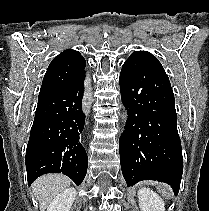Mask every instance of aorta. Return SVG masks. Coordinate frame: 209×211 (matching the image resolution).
Segmentation results:
<instances>
[{
  "label": "aorta",
  "instance_id": "obj_1",
  "mask_svg": "<svg viewBox=\"0 0 209 211\" xmlns=\"http://www.w3.org/2000/svg\"><path fill=\"white\" fill-rule=\"evenodd\" d=\"M123 120H126V118H127V113L125 112V113H123Z\"/></svg>",
  "mask_w": 209,
  "mask_h": 211
}]
</instances>
